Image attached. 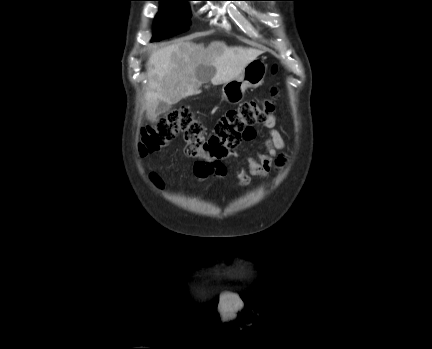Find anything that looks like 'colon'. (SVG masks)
Wrapping results in <instances>:
<instances>
[{"instance_id": "1", "label": "colon", "mask_w": 432, "mask_h": 349, "mask_svg": "<svg viewBox=\"0 0 432 349\" xmlns=\"http://www.w3.org/2000/svg\"><path fill=\"white\" fill-rule=\"evenodd\" d=\"M277 92L271 98L243 102L237 108L223 114L206 138L204 126L189 108H181L142 129L139 151L142 156L153 154L173 141L178 135L183 137L186 155L198 158L209 169L222 170L223 160L241 140L253 136V126L264 122L273 112Z\"/></svg>"}]
</instances>
